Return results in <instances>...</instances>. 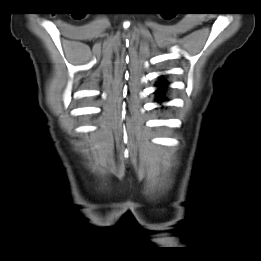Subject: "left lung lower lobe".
<instances>
[{
  "label": "left lung lower lobe",
  "mask_w": 261,
  "mask_h": 261,
  "mask_svg": "<svg viewBox=\"0 0 261 261\" xmlns=\"http://www.w3.org/2000/svg\"><path fill=\"white\" fill-rule=\"evenodd\" d=\"M157 86L160 87V89H158L156 91V94H157V99L158 102H163L164 101V93H165V90H166V86H167V82L165 81H161L159 83H157Z\"/></svg>",
  "instance_id": "0a47b994"
}]
</instances>
